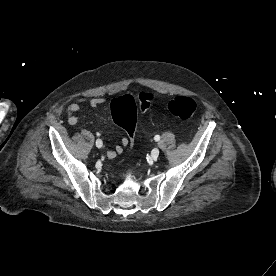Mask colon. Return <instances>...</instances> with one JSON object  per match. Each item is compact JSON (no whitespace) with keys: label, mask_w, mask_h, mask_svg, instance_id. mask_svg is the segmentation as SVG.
Returning <instances> with one entry per match:
<instances>
[{"label":"colon","mask_w":276,"mask_h":276,"mask_svg":"<svg viewBox=\"0 0 276 276\" xmlns=\"http://www.w3.org/2000/svg\"><path fill=\"white\" fill-rule=\"evenodd\" d=\"M152 101L153 95L148 92L140 93L138 101L129 94L119 96L111 101L110 110L112 119L126 131L131 146L135 138L137 113L138 111H146ZM168 109L175 117L188 120L196 111V103L190 97L175 96L169 101Z\"/></svg>","instance_id":"obj_1"}]
</instances>
